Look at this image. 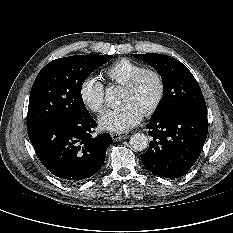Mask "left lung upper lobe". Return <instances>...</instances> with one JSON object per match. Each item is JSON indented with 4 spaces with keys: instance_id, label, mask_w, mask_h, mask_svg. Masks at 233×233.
<instances>
[{
    "instance_id": "5c2ea615",
    "label": "left lung upper lobe",
    "mask_w": 233,
    "mask_h": 233,
    "mask_svg": "<svg viewBox=\"0 0 233 233\" xmlns=\"http://www.w3.org/2000/svg\"><path fill=\"white\" fill-rule=\"evenodd\" d=\"M161 76L164 95L151 120L184 109L207 111L201 89L189 69L177 59L156 53L134 54Z\"/></svg>"
}]
</instances>
